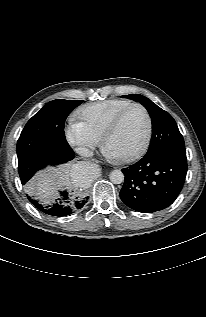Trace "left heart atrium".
Segmentation results:
<instances>
[{
    "instance_id": "39dd6f15",
    "label": "left heart atrium",
    "mask_w": 206,
    "mask_h": 317,
    "mask_svg": "<svg viewBox=\"0 0 206 317\" xmlns=\"http://www.w3.org/2000/svg\"><path fill=\"white\" fill-rule=\"evenodd\" d=\"M103 152H104L105 156H107L108 158H116L117 157V155L110 148H108L106 145L103 147Z\"/></svg>"
}]
</instances>
